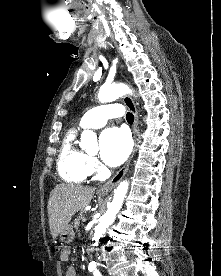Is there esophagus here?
<instances>
[{
	"instance_id": "obj_1",
	"label": "esophagus",
	"mask_w": 221,
	"mask_h": 276,
	"mask_svg": "<svg viewBox=\"0 0 221 276\" xmlns=\"http://www.w3.org/2000/svg\"><path fill=\"white\" fill-rule=\"evenodd\" d=\"M124 103L134 115V123H133L134 149H133L130 157L128 158V160L124 164V166L109 181H107L105 184H103L99 188L100 193L110 192L120 182V180L123 178V176L127 172L128 167L130 165V162H131V160L134 156V153L136 151V148H137V143H138V121H139L138 111H137V108H136V105H135L133 99L129 95H126L124 97Z\"/></svg>"
}]
</instances>
